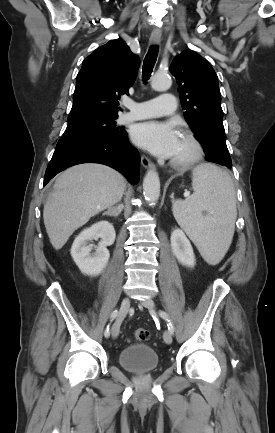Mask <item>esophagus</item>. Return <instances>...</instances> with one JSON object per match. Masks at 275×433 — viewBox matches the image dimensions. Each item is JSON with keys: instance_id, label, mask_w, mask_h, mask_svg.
<instances>
[{"instance_id": "obj_1", "label": "esophagus", "mask_w": 275, "mask_h": 433, "mask_svg": "<svg viewBox=\"0 0 275 433\" xmlns=\"http://www.w3.org/2000/svg\"><path fill=\"white\" fill-rule=\"evenodd\" d=\"M161 41V34L158 32H152L150 38H149V43L151 45H158ZM141 164L143 165V167L147 168V169H154L155 165L154 163L146 156L142 155L141 156Z\"/></svg>"}]
</instances>
